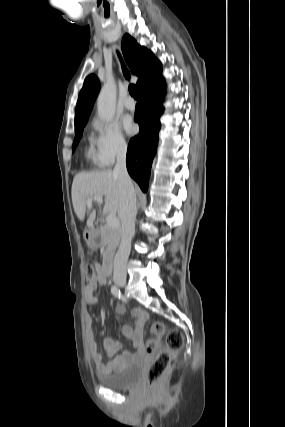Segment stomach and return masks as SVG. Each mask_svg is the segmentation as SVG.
I'll return each instance as SVG.
<instances>
[{"label": "stomach", "instance_id": "1", "mask_svg": "<svg viewBox=\"0 0 285 427\" xmlns=\"http://www.w3.org/2000/svg\"><path fill=\"white\" fill-rule=\"evenodd\" d=\"M84 238L87 245L92 249L97 248L101 243L99 231L96 229L85 230Z\"/></svg>", "mask_w": 285, "mask_h": 427}]
</instances>
